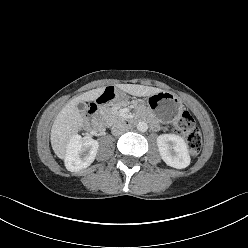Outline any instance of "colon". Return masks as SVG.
Returning <instances> with one entry per match:
<instances>
[{"label": "colon", "mask_w": 248, "mask_h": 248, "mask_svg": "<svg viewBox=\"0 0 248 248\" xmlns=\"http://www.w3.org/2000/svg\"><path fill=\"white\" fill-rule=\"evenodd\" d=\"M174 130L185 137L190 155L197 156L202 147V137L188 111L182 112L176 119Z\"/></svg>", "instance_id": "1"}]
</instances>
